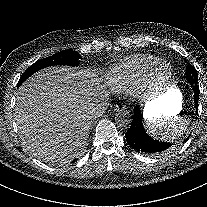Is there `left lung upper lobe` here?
Wrapping results in <instances>:
<instances>
[{"instance_id": "obj_1", "label": "left lung upper lobe", "mask_w": 207, "mask_h": 207, "mask_svg": "<svg viewBox=\"0 0 207 207\" xmlns=\"http://www.w3.org/2000/svg\"><path fill=\"white\" fill-rule=\"evenodd\" d=\"M197 71L194 66L188 64L186 67V80L189 82L190 80L197 79Z\"/></svg>"}]
</instances>
